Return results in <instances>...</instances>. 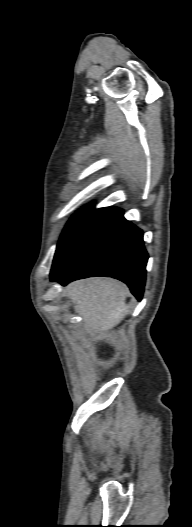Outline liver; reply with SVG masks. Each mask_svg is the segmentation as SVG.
Here are the masks:
<instances>
[{
    "mask_svg": "<svg viewBox=\"0 0 192 527\" xmlns=\"http://www.w3.org/2000/svg\"><path fill=\"white\" fill-rule=\"evenodd\" d=\"M65 295L83 319L86 333L103 335L117 326L128 313V288L114 279L92 278L70 283Z\"/></svg>",
    "mask_w": 192,
    "mask_h": 527,
    "instance_id": "6515ba94",
    "label": "liver"
}]
</instances>
